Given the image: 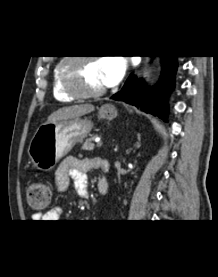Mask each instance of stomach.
Masks as SVG:
<instances>
[{"mask_svg": "<svg viewBox=\"0 0 218 277\" xmlns=\"http://www.w3.org/2000/svg\"><path fill=\"white\" fill-rule=\"evenodd\" d=\"M117 116L111 104L100 107L98 117L111 120ZM93 122L88 118H74L42 124L34 133L29 146L28 156L34 167L49 171L65 156L75 144L82 142L91 132Z\"/></svg>", "mask_w": 218, "mask_h": 277, "instance_id": "1", "label": "stomach"}]
</instances>
